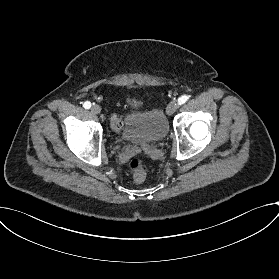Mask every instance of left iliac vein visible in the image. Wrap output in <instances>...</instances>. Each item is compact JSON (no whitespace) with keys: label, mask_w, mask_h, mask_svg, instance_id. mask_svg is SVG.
<instances>
[{"label":"left iliac vein","mask_w":279,"mask_h":279,"mask_svg":"<svg viewBox=\"0 0 279 279\" xmlns=\"http://www.w3.org/2000/svg\"><path fill=\"white\" fill-rule=\"evenodd\" d=\"M178 108V104L175 101H172L167 106V114L172 115Z\"/></svg>","instance_id":"4c4485c4"}]
</instances>
